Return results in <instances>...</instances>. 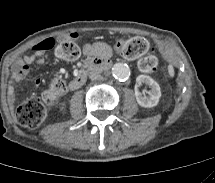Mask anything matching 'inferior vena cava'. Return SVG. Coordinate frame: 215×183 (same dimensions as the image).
Wrapping results in <instances>:
<instances>
[{
	"instance_id": "inferior-vena-cava-1",
	"label": "inferior vena cava",
	"mask_w": 215,
	"mask_h": 183,
	"mask_svg": "<svg viewBox=\"0 0 215 183\" xmlns=\"http://www.w3.org/2000/svg\"><path fill=\"white\" fill-rule=\"evenodd\" d=\"M89 78H90L91 80H97V79H99V78H100V73H99V71H97V70H92V71H90V72H89Z\"/></svg>"
}]
</instances>
